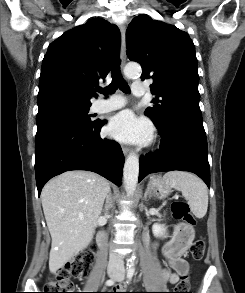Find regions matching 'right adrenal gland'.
<instances>
[{
	"label": "right adrenal gland",
	"mask_w": 245,
	"mask_h": 293,
	"mask_svg": "<svg viewBox=\"0 0 245 293\" xmlns=\"http://www.w3.org/2000/svg\"><path fill=\"white\" fill-rule=\"evenodd\" d=\"M111 190L109 191L107 197H106V205H105V210H108L109 208H111L113 205H112V197H111Z\"/></svg>",
	"instance_id": "1"
}]
</instances>
